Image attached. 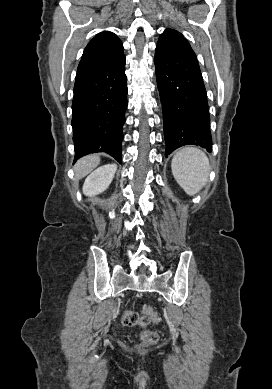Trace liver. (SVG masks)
I'll use <instances>...</instances> for the list:
<instances>
[{
  "mask_svg": "<svg viewBox=\"0 0 272 389\" xmlns=\"http://www.w3.org/2000/svg\"><path fill=\"white\" fill-rule=\"evenodd\" d=\"M99 163V155H89L80 159L74 167L76 178L79 180L85 177L91 171H93L99 165Z\"/></svg>",
  "mask_w": 272,
  "mask_h": 389,
  "instance_id": "1",
  "label": "liver"
}]
</instances>
